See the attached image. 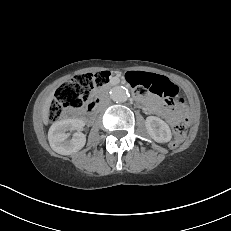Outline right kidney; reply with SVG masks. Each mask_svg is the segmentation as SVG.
I'll return each instance as SVG.
<instances>
[{"instance_id": "ca27d5eb", "label": "right kidney", "mask_w": 231, "mask_h": 231, "mask_svg": "<svg viewBox=\"0 0 231 231\" xmlns=\"http://www.w3.org/2000/svg\"><path fill=\"white\" fill-rule=\"evenodd\" d=\"M84 122L80 119H65L56 121L50 127L48 140L51 148L62 155H70L82 149L86 143V136L81 132ZM73 137L68 140L67 131H75Z\"/></svg>"}]
</instances>
